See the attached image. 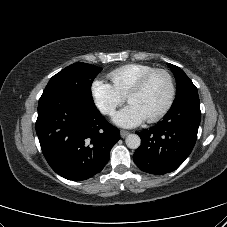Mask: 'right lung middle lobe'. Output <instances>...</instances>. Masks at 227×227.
I'll list each match as a JSON object with an SVG mask.
<instances>
[{"label":"right lung middle lobe","mask_w":227,"mask_h":227,"mask_svg":"<svg viewBox=\"0 0 227 227\" xmlns=\"http://www.w3.org/2000/svg\"><path fill=\"white\" fill-rule=\"evenodd\" d=\"M101 70V68L87 63H74L54 75L45 87L42 95L58 91H68L78 95L86 102L94 103L91 85Z\"/></svg>","instance_id":"dd1d6c3e"}]
</instances>
